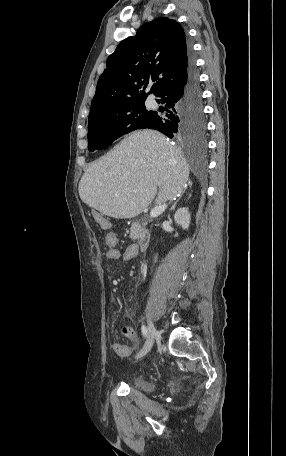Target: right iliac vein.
I'll return each instance as SVG.
<instances>
[{"instance_id": "right-iliac-vein-1", "label": "right iliac vein", "mask_w": 286, "mask_h": 456, "mask_svg": "<svg viewBox=\"0 0 286 456\" xmlns=\"http://www.w3.org/2000/svg\"><path fill=\"white\" fill-rule=\"evenodd\" d=\"M156 334H157V331H156V328H155L153 322L150 319H148L147 339H146V342H145L143 348L141 349V351L136 355L137 359L142 358L151 350L155 337H156Z\"/></svg>"}]
</instances>
